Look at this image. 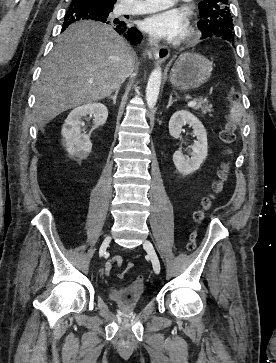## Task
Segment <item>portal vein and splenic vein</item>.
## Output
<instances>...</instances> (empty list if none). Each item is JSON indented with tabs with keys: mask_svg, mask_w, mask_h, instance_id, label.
<instances>
[{
	"mask_svg": "<svg viewBox=\"0 0 276 363\" xmlns=\"http://www.w3.org/2000/svg\"><path fill=\"white\" fill-rule=\"evenodd\" d=\"M196 101H190V102H188V106H190V107H195L196 106Z\"/></svg>",
	"mask_w": 276,
	"mask_h": 363,
	"instance_id": "1",
	"label": "portal vein and splenic vein"
}]
</instances>
